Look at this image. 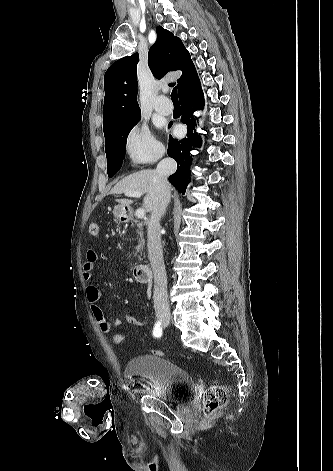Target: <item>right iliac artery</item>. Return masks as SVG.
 <instances>
[{
  "label": "right iliac artery",
  "instance_id": "right-iliac-artery-1",
  "mask_svg": "<svg viewBox=\"0 0 333 471\" xmlns=\"http://www.w3.org/2000/svg\"><path fill=\"white\" fill-rule=\"evenodd\" d=\"M153 336L156 337V338H159V337L162 336V326H161L160 321H157L155 326H154Z\"/></svg>",
  "mask_w": 333,
  "mask_h": 471
}]
</instances>
